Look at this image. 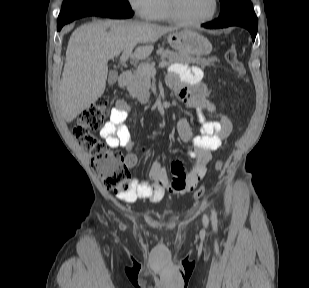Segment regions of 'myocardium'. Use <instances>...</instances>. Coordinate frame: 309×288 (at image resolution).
Returning <instances> with one entry per match:
<instances>
[{
    "instance_id": "1",
    "label": "myocardium",
    "mask_w": 309,
    "mask_h": 288,
    "mask_svg": "<svg viewBox=\"0 0 309 288\" xmlns=\"http://www.w3.org/2000/svg\"><path fill=\"white\" fill-rule=\"evenodd\" d=\"M166 1H167V7H168V11H169L171 18L179 24L191 26V27H198V26H202V25H205L211 22L216 17L218 10H219V1L213 0L212 11L207 17L200 19V20H188L182 17L180 13L178 12L176 0H166Z\"/></svg>"
}]
</instances>
